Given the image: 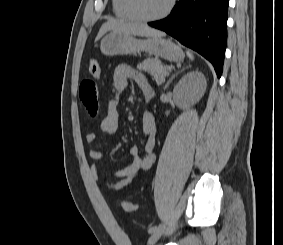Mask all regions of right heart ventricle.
I'll return each instance as SVG.
<instances>
[{
    "instance_id": "obj_1",
    "label": "right heart ventricle",
    "mask_w": 283,
    "mask_h": 245,
    "mask_svg": "<svg viewBox=\"0 0 283 245\" xmlns=\"http://www.w3.org/2000/svg\"><path fill=\"white\" fill-rule=\"evenodd\" d=\"M112 6L117 17L128 20L134 19L127 9L126 0H112Z\"/></svg>"
}]
</instances>
